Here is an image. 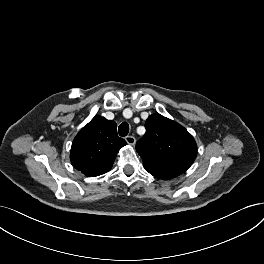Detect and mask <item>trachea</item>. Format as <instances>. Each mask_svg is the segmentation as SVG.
<instances>
[{"instance_id":"1","label":"trachea","mask_w":264,"mask_h":264,"mask_svg":"<svg viewBox=\"0 0 264 264\" xmlns=\"http://www.w3.org/2000/svg\"><path fill=\"white\" fill-rule=\"evenodd\" d=\"M129 132V125L126 122H123L118 127V133L121 137H125Z\"/></svg>"}]
</instances>
